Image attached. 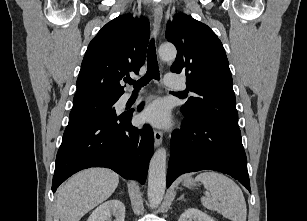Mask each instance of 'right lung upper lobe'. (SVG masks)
Instances as JSON below:
<instances>
[{
	"label": "right lung upper lobe",
	"mask_w": 307,
	"mask_h": 221,
	"mask_svg": "<svg viewBox=\"0 0 307 221\" xmlns=\"http://www.w3.org/2000/svg\"><path fill=\"white\" fill-rule=\"evenodd\" d=\"M149 21L131 14L107 23L90 42L77 79L73 104L119 99L125 74H138L145 62Z\"/></svg>",
	"instance_id": "obj_1"
}]
</instances>
